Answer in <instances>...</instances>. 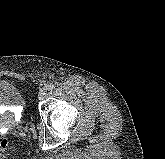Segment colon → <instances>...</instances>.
<instances>
[{
  "label": "colon",
  "instance_id": "5ec220e1",
  "mask_svg": "<svg viewBox=\"0 0 165 159\" xmlns=\"http://www.w3.org/2000/svg\"><path fill=\"white\" fill-rule=\"evenodd\" d=\"M11 149H13V143L8 139L0 140V157L2 158Z\"/></svg>",
  "mask_w": 165,
  "mask_h": 159
}]
</instances>
